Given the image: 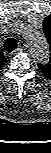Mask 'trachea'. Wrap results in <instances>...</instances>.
<instances>
[{
    "mask_svg": "<svg viewBox=\"0 0 51 153\" xmlns=\"http://www.w3.org/2000/svg\"><path fill=\"white\" fill-rule=\"evenodd\" d=\"M4 48L6 51L11 52L17 48V42L14 38H7L4 42Z\"/></svg>",
    "mask_w": 51,
    "mask_h": 153,
    "instance_id": "trachea-1",
    "label": "trachea"
}]
</instances>
